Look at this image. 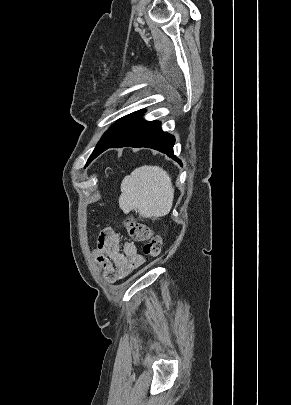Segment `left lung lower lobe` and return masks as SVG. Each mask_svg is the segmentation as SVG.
<instances>
[{
    "label": "left lung lower lobe",
    "mask_w": 291,
    "mask_h": 405,
    "mask_svg": "<svg viewBox=\"0 0 291 405\" xmlns=\"http://www.w3.org/2000/svg\"><path fill=\"white\" fill-rule=\"evenodd\" d=\"M143 113V110L138 111L123 134L115 142L99 150L95 157L109 148L147 147L167 154L182 165L173 153L174 136L163 132L159 121L142 119Z\"/></svg>",
    "instance_id": "1"
}]
</instances>
